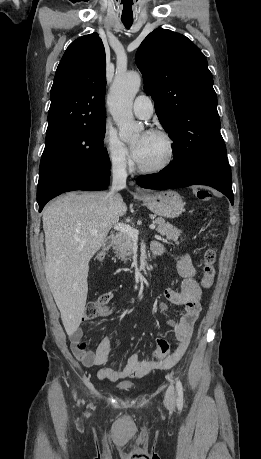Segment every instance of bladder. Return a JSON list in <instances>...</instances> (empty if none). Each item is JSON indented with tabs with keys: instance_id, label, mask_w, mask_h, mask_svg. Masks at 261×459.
I'll list each match as a JSON object with an SVG mask.
<instances>
[{
	"instance_id": "bladder-1",
	"label": "bladder",
	"mask_w": 261,
	"mask_h": 459,
	"mask_svg": "<svg viewBox=\"0 0 261 459\" xmlns=\"http://www.w3.org/2000/svg\"><path fill=\"white\" fill-rule=\"evenodd\" d=\"M133 387L134 385L131 382H122L118 384V388L125 391L131 390Z\"/></svg>"
}]
</instances>
